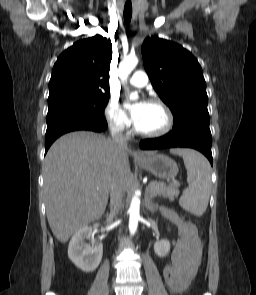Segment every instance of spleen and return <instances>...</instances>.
Here are the masks:
<instances>
[{"instance_id":"obj_1","label":"spleen","mask_w":256,"mask_h":295,"mask_svg":"<svg viewBox=\"0 0 256 295\" xmlns=\"http://www.w3.org/2000/svg\"><path fill=\"white\" fill-rule=\"evenodd\" d=\"M173 152L182 156L189 184V187L183 192L179 204L192 214L202 216L207 209L210 197V164L201 153L192 149H177Z\"/></svg>"}]
</instances>
